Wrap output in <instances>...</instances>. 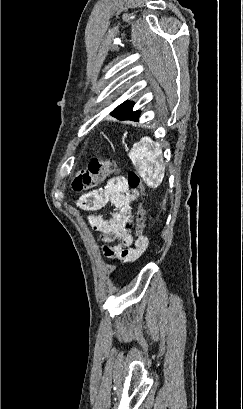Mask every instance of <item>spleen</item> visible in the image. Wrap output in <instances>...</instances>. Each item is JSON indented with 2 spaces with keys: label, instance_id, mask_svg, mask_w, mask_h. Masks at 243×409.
Masks as SVG:
<instances>
[{
  "label": "spleen",
  "instance_id": "3e777b00",
  "mask_svg": "<svg viewBox=\"0 0 243 409\" xmlns=\"http://www.w3.org/2000/svg\"><path fill=\"white\" fill-rule=\"evenodd\" d=\"M128 156L148 187L157 188L162 183L165 166L159 143H154L150 137H143L133 145Z\"/></svg>",
  "mask_w": 243,
  "mask_h": 409
}]
</instances>
